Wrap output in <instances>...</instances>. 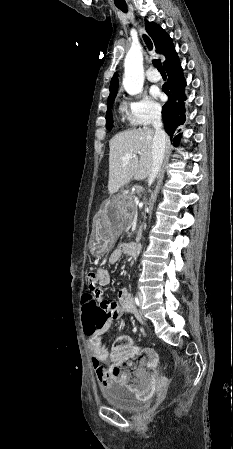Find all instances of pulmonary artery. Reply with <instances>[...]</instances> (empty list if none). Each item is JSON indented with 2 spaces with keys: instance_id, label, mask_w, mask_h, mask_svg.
<instances>
[{
  "instance_id": "e3ab8cb5",
  "label": "pulmonary artery",
  "mask_w": 233,
  "mask_h": 449,
  "mask_svg": "<svg viewBox=\"0 0 233 449\" xmlns=\"http://www.w3.org/2000/svg\"><path fill=\"white\" fill-rule=\"evenodd\" d=\"M146 77L150 82H158L160 80V74L153 68H149L146 71Z\"/></svg>"
}]
</instances>
